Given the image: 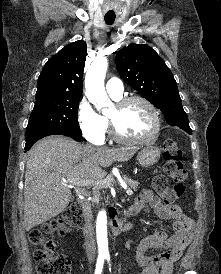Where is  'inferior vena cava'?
I'll return each mask as SVG.
<instances>
[{"mask_svg": "<svg viewBox=\"0 0 221 274\" xmlns=\"http://www.w3.org/2000/svg\"><path fill=\"white\" fill-rule=\"evenodd\" d=\"M87 240L85 243L86 253L89 259H93L95 256L96 245L94 239V230L91 223L86 225Z\"/></svg>", "mask_w": 221, "mask_h": 274, "instance_id": "1", "label": "inferior vena cava"}]
</instances>
